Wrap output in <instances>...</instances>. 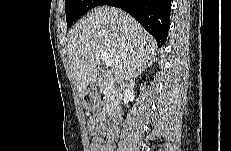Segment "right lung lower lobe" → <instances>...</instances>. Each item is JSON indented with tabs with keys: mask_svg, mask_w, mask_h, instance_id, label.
<instances>
[{
	"mask_svg": "<svg viewBox=\"0 0 231 151\" xmlns=\"http://www.w3.org/2000/svg\"><path fill=\"white\" fill-rule=\"evenodd\" d=\"M132 15L157 41L165 44L170 25L171 0H104Z\"/></svg>",
	"mask_w": 231,
	"mask_h": 151,
	"instance_id": "1",
	"label": "right lung lower lobe"
}]
</instances>
